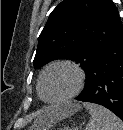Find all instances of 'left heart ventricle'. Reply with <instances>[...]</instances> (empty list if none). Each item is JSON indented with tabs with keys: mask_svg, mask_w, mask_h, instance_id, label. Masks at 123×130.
Here are the masks:
<instances>
[{
	"mask_svg": "<svg viewBox=\"0 0 123 130\" xmlns=\"http://www.w3.org/2000/svg\"><path fill=\"white\" fill-rule=\"evenodd\" d=\"M75 72L65 66L50 69L43 79V94L46 99L55 100L69 94L76 85Z\"/></svg>",
	"mask_w": 123,
	"mask_h": 130,
	"instance_id": "1",
	"label": "left heart ventricle"
}]
</instances>
